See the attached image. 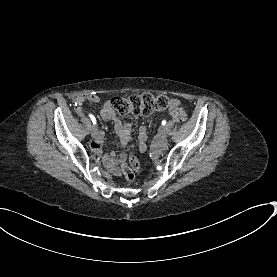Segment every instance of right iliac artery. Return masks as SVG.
<instances>
[{
	"label": "right iliac artery",
	"instance_id": "82829eb1",
	"mask_svg": "<svg viewBox=\"0 0 277 277\" xmlns=\"http://www.w3.org/2000/svg\"><path fill=\"white\" fill-rule=\"evenodd\" d=\"M89 117L91 118L93 124L95 125L96 124V119L93 115L89 114Z\"/></svg>",
	"mask_w": 277,
	"mask_h": 277
}]
</instances>
